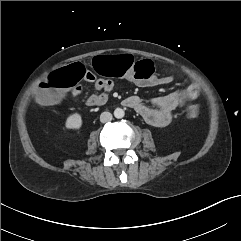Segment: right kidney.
Masks as SVG:
<instances>
[{"mask_svg":"<svg viewBox=\"0 0 241 241\" xmlns=\"http://www.w3.org/2000/svg\"><path fill=\"white\" fill-rule=\"evenodd\" d=\"M82 117L80 114L75 113L67 117L65 127L67 129L79 130L82 127Z\"/></svg>","mask_w":241,"mask_h":241,"instance_id":"1","label":"right kidney"}]
</instances>
